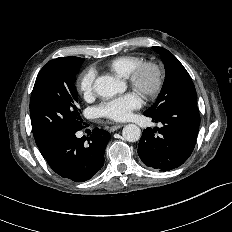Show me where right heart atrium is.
Masks as SVG:
<instances>
[{
  "label": "right heart atrium",
  "instance_id": "1",
  "mask_svg": "<svg viewBox=\"0 0 232 232\" xmlns=\"http://www.w3.org/2000/svg\"><path fill=\"white\" fill-rule=\"evenodd\" d=\"M96 72L94 69L85 70L78 79V89L84 96H90L93 93Z\"/></svg>",
  "mask_w": 232,
  "mask_h": 232
}]
</instances>
